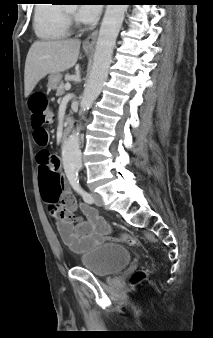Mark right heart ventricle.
I'll list each match as a JSON object with an SVG mask.
<instances>
[{"instance_id":"1","label":"right heart ventricle","mask_w":213,"mask_h":338,"mask_svg":"<svg viewBox=\"0 0 213 338\" xmlns=\"http://www.w3.org/2000/svg\"><path fill=\"white\" fill-rule=\"evenodd\" d=\"M34 31L43 40H60L68 36L64 8L56 4H36Z\"/></svg>"}]
</instances>
